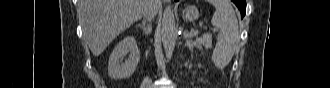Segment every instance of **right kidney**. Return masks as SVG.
<instances>
[{
    "label": "right kidney",
    "instance_id": "obj_1",
    "mask_svg": "<svg viewBox=\"0 0 330 88\" xmlns=\"http://www.w3.org/2000/svg\"><path fill=\"white\" fill-rule=\"evenodd\" d=\"M130 52L129 58L121 63V58ZM140 61V51L134 36H127L112 51L108 62V74L113 79L130 77Z\"/></svg>",
    "mask_w": 330,
    "mask_h": 88
}]
</instances>
